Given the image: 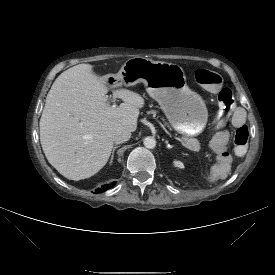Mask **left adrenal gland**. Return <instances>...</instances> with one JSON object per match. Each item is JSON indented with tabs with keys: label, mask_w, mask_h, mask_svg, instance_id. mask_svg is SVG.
I'll list each match as a JSON object with an SVG mask.
<instances>
[{
	"label": "left adrenal gland",
	"mask_w": 275,
	"mask_h": 275,
	"mask_svg": "<svg viewBox=\"0 0 275 275\" xmlns=\"http://www.w3.org/2000/svg\"><path fill=\"white\" fill-rule=\"evenodd\" d=\"M167 143V148H172V146H170V144H168V142H166Z\"/></svg>",
	"instance_id": "obj_1"
}]
</instances>
